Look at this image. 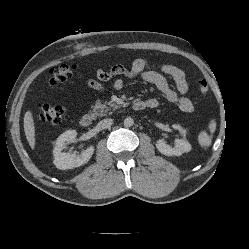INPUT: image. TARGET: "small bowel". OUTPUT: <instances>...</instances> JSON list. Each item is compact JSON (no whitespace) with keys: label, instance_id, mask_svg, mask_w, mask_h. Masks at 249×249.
<instances>
[{"label":"small bowel","instance_id":"small-bowel-1","mask_svg":"<svg viewBox=\"0 0 249 249\" xmlns=\"http://www.w3.org/2000/svg\"><path fill=\"white\" fill-rule=\"evenodd\" d=\"M146 67L147 61L142 58L134 60L130 68H126L123 65H114L106 70L100 66L96 71L97 79L90 78L87 80V84L95 90H103L102 82L113 80V87L120 90L124 87L126 80L140 77L146 82L153 84L164 94L169 102L176 104L183 113H191L193 111V103L187 96L188 84L185 74L180 68L171 64H162L159 67L161 72H157L147 70ZM163 74L173 79L176 91L170 88ZM144 102L147 108L154 109L159 106V101L156 98H148Z\"/></svg>","mask_w":249,"mask_h":249}]
</instances>
